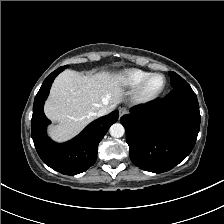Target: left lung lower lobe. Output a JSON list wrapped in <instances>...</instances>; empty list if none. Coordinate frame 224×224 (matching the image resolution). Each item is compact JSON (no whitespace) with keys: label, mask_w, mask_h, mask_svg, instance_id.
Returning <instances> with one entry per match:
<instances>
[{"label":"left lung lower lobe","mask_w":224,"mask_h":224,"mask_svg":"<svg viewBox=\"0 0 224 224\" xmlns=\"http://www.w3.org/2000/svg\"><path fill=\"white\" fill-rule=\"evenodd\" d=\"M120 122L132 162L145 171L162 173L192 151L200 129L199 104L185 82L164 99L131 108Z\"/></svg>","instance_id":"0a47b994"}]
</instances>
